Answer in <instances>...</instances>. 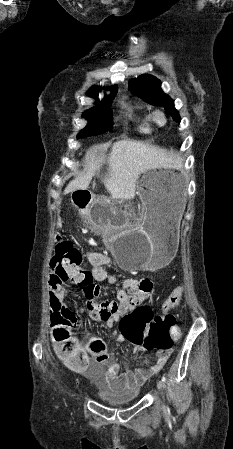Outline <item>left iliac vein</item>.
<instances>
[{"instance_id":"left-iliac-vein-1","label":"left iliac vein","mask_w":233,"mask_h":449,"mask_svg":"<svg viewBox=\"0 0 233 449\" xmlns=\"http://www.w3.org/2000/svg\"><path fill=\"white\" fill-rule=\"evenodd\" d=\"M157 389L159 390V392L162 389V381H160V380L157 382Z\"/></svg>"}]
</instances>
